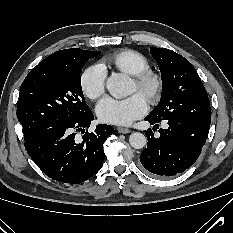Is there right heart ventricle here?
Returning a JSON list of instances; mask_svg holds the SVG:
<instances>
[{"mask_svg": "<svg viewBox=\"0 0 233 233\" xmlns=\"http://www.w3.org/2000/svg\"><path fill=\"white\" fill-rule=\"evenodd\" d=\"M103 61L131 76H135L150 67L148 59L143 54L131 49L118 51Z\"/></svg>", "mask_w": 233, "mask_h": 233, "instance_id": "1", "label": "right heart ventricle"}]
</instances>
